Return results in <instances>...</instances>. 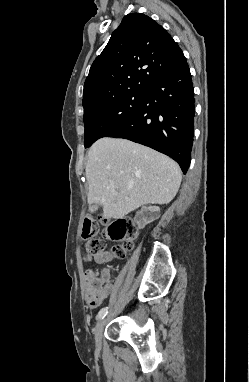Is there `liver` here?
<instances>
[{
    "instance_id": "obj_1",
    "label": "liver",
    "mask_w": 249,
    "mask_h": 382,
    "mask_svg": "<svg viewBox=\"0 0 249 382\" xmlns=\"http://www.w3.org/2000/svg\"><path fill=\"white\" fill-rule=\"evenodd\" d=\"M85 172L88 203L102 205L103 216L114 219L145 204L170 203L182 179L179 165L166 155L110 137L90 147Z\"/></svg>"
}]
</instances>
